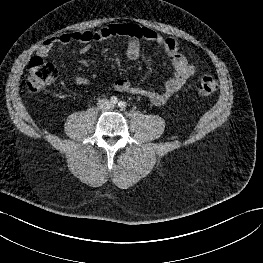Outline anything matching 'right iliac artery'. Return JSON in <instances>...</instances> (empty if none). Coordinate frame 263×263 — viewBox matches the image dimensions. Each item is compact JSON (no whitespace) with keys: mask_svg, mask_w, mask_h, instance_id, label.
I'll list each match as a JSON object with an SVG mask.
<instances>
[{"mask_svg":"<svg viewBox=\"0 0 263 263\" xmlns=\"http://www.w3.org/2000/svg\"><path fill=\"white\" fill-rule=\"evenodd\" d=\"M110 102L115 105L118 103V98L116 96H112Z\"/></svg>","mask_w":263,"mask_h":263,"instance_id":"obj_1","label":"right iliac artery"}]
</instances>
